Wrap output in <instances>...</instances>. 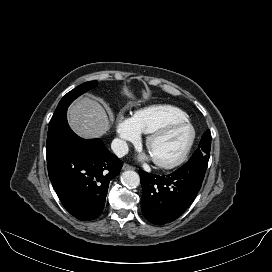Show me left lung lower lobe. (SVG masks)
Returning <instances> with one entry per match:
<instances>
[{
  "mask_svg": "<svg viewBox=\"0 0 272 272\" xmlns=\"http://www.w3.org/2000/svg\"><path fill=\"white\" fill-rule=\"evenodd\" d=\"M208 160L188 161L175 172L159 176L139 171L145 218L156 225L170 223L192 204L201 188Z\"/></svg>",
  "mask_w": 272,
  "mask_h": 272,
  "instance_id": "left-lung-lower-lobe-1",
  "label": "left lung lower lobe"
}]
</instances>
